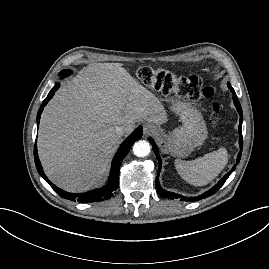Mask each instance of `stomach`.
<instances>
[{
    "mask_svg": "<svg viewBox=\"0 0 269 269\" xmlns=\"http://www.w3.org/2000/svg\"><path fill=\"white\" fill-rule=\"evenodd\" d=\"M172 110L180 116L182 125L169 135L160 130L158 139L168 153L184 158L205 142L208 131L202 114L190 103L175 102Z\"/></svg>",
    "mask_w": 269,
    "mask_h": 269,
    "instance_id": "stomach-1",
    "label": "stomach"
}]
</instances>
